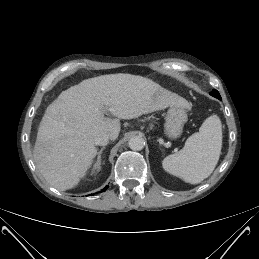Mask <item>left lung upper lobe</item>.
Returning <instances> with one entry per match:
<instances>
[{
  "mask_svg": "<svg viewBox=\"0 0 259 259\" xmlns=\"http://www.w3.org/2000/svg\"><path fill=\"white\" fill-rule=\"evenodd\" d=\"M210 94L218 99H221V96L217 90H213Z\"/></svg>",
  "mask_w": 259,
  "mask_h": 259,
  "instance_id": "obj_1",
  "label": "left lung upper lobe"
}]
</instances>
